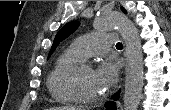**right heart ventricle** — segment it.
<instances>
[{
	"instance_id": "e07e8e85",
	"label": "right heart ventricle",
	"mask_w": 171,
	"mask_h": 110,
	"mask_svg": "<svg viewBox=\"0 0 171 110\" xmlns=\"http://www.w3.org/2000/svg\"><path fill=\"white\" fill-rule=\"evenodd\" d=\"M84 58L70 46L56 59L47 79V86L51 96L60 103H72L75 99L63 86L62 76L67 68L82 61Z\"/></svg>"
}]
</instances>
